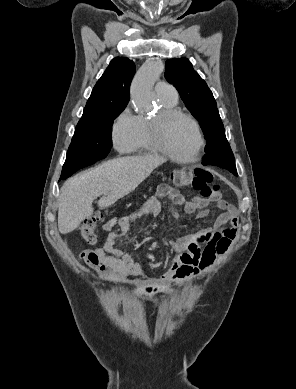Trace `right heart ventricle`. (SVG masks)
Listing matches in <instances>:
<instances>
[{"label":"right heart ventricle","mask_w":296,"mask_h":389,"mask_svg":"<svg viewBox=\"0 0 296 389\" xmlns=\"http://www.w3.org/2000/svg\"><path fill=\"white\" fill-rule=\"evenodd\" d=\"M159 97V96H158ZM160 103L163 108L174 109L177 106V99H169L165 97H159ZM150 118L145 116H137L136 133L131 147V152L136 154H150L156 153V149L152 143L149 128Z\"/></svg>","instance_id":"right-heart-ventricle-1"}]
</instances>
